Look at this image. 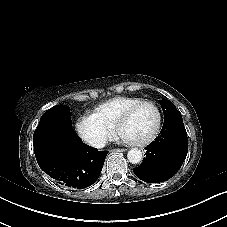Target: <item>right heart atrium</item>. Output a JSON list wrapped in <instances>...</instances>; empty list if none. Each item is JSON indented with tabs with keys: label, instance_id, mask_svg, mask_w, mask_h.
<instances>
[{
	"label": "right heart atrium",
	"instance_id": "1",
	"mask_svg": "<svg viewBox=\"0 0 227 227\" xmlns=\"http://www.w3.org/2000/svg\"><path fill=\"white\" fill-rule=\"evenodd\" d=\"M78 132L89 146L97 147L104 144L110 137L111 131L108 127L96 124L91 120L79 123Z\"/></svg>",
	"mask_w": 227,
	"mask_h": 227
}]
</instances>
